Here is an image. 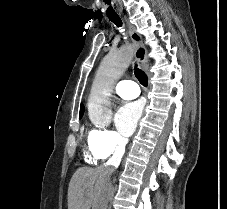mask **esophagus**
<instances>
[{"mask_svg":"<svg viewBox=\"0 0 227 209\" xmlns=\"http://www.w3.org/2000/svg\"><path fill=\"white\" fill-rule=\"evenodd\" d=\"M128 28H129V34H130L131 40L135 46L134 56L138 60V62H140V64L143 66L145 63L148 62L147 50L142 45L141 36L136 31L135 27L129 24Z\"/></svg>","mask_w":227,"mask_h":209,"instance_id":"esophagus-1","label":"esophagus"}]
</instances>
